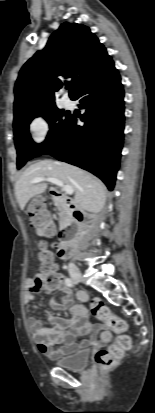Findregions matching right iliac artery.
Here are the masks:
<instances>
[{
  "instance_id": "right-iliac-artery-1",
  "label": "right iliac artery",
  "mask_w": 155,
  "mask_h": 413,
  "mask_svg": "<svg viewBox=\"0 0 155 413\" xmlns=\"http://www.w3.org/2000/svg\"><path fill=\"white\" fill-rule=\"evenodd\" d=\"M65 283L67 286L69 287H73L74 286V282L70 279V278H66L65 279Z\"/></svg>"
}]
</instances>
